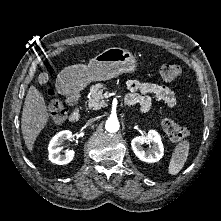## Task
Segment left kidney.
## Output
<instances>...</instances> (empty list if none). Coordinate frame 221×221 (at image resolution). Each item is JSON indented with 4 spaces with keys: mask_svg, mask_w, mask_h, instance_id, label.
I'll use <instances>...</instances> for the list:
<instances>
[{
    "mask_svg": "<svg viewBox=\"0 0 221 221\" xmlns=\"http://www.w3.org/2000/svg\"><path fill=\"white\" fill-rule=\"evenodd\" d=\"M144 143H152L150 150L145 151L142 145ZM131 147L134 154L143 162L154 163L158 162L164 153L161 137L155 130H150L147 136H137L132 139Z\"/></svg>",
    "mask_w": 221,
    "mask_h": 221,
    "instance_id": "5707ae66",
    "label": "left kidney"
}]
</instances>
